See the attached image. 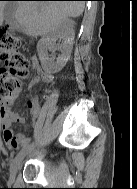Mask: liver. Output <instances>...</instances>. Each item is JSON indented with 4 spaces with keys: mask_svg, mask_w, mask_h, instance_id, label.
<instances>
[{
    "mask_svg": "<svg viewBox=\"0 0 137 189\" xmlns=\"http://www.w3.org/2000/svg\"><path fill=\"white\" fill-rule=\"evenodd\" d=\"M14 14L20 30L29 36L46 35L68 17H79L85 7L84 1H18ZM0 1V26L4 20V7Z\"/></svg>",
    "mask_w": 137,
    "mask_h": 189,
    "instance_id": "liver-1",
    "label": "liver"
}]
</instances>
